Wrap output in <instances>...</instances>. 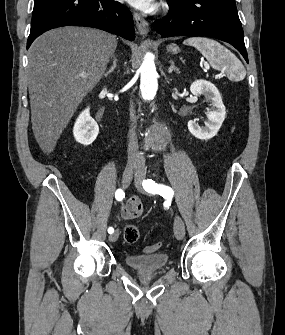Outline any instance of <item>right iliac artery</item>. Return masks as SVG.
<instances>
[{
    "label": "right iliac artery",
    "mask_w": 285,
    "mask_h": 335,
    "mask_svg": "<svg viewBox=\"0 0 285 335\" xmlns=\"http://www.w3.org/2000/svg\"><path fill=\"white\" fill-rule=\"evenodd\" d=\"M124 197H125L124 191L122 189H117V191L115 192V198L118 201H122ZM113 232H114V229L112 227H109L108 228V233L112 234Z\"/></svg>",
    "instance_id": "obj_1"
}]
</instances>
